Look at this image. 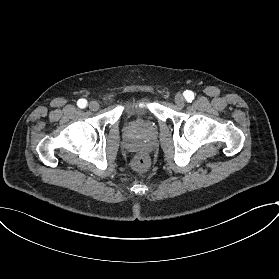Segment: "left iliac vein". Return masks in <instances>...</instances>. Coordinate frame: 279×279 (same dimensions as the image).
<instances>
[{"instance_id":"left-iliac-vein-1","label":"left iliac vein","mask_w":279,"mask_h":279,"mask_svg":"<svg viewBox=\"0 0 279 279\" xmlns=\"http://www.w3.org/2000/svg\"><path fill=\"white\" fill-rule=\"evenodd\" d=\"M175 104L178 106V107H183L185 105V99L183 97L182 94L178 93L175 95Z\"/></svg>"}]
</instances>
